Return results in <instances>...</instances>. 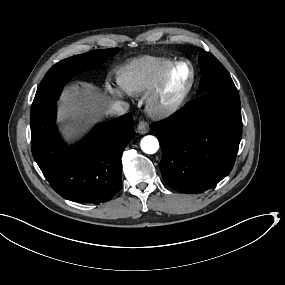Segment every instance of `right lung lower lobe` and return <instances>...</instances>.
<instances>
[{
  "label": "right lung lower lobe",
  "instance_id": "1",
  "mask_svg": "<svg viewBox=\"0 0 285 285\" xmlns=\"http://www.w3.org/2000/svg\"><path fill=\"white\" fill-rule=\"evenodd\" d=\"M64 84L36 93L31 106L32 154L51 187L79 203L111 200L121 189V156L135 137L127 113L97 126L77 148L66 145L56 129V102Z\"/></svg>",
  "mask_w": 285,
  "mask_h": 285
}]
</instances>
